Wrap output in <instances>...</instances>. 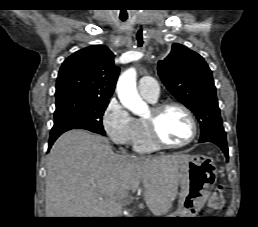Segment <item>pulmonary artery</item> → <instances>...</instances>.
I'll return each instance as SVG.
<instances>
[{"label": "pulmonary artery", "instance_id": "obj_1", "mask_svg": "<svg viewBox=\"0 0 258 227\" xmlns=\"http://www.w3.org/2000/svg\"><path fill=\"white\" fill-rule=\"evenodd\" d=\"M138 90L142 97L155 102L159 97V86L157 81L152 77H143L139 80Z\"/></svg>", "mask_w": 258, "mask_h": 227}]
</instances>
